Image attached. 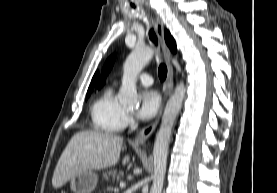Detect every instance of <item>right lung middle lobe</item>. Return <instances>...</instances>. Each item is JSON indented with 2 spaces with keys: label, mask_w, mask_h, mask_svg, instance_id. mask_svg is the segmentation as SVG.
<instances>
[{
  "label": "right lung middle lobe",
  "mask_w": 277,
  "mask_h": 193,
  "mask_svg": "<svg viewBox=\"0 0 277 193\" xmlns=\"http://www.w3.org/2000/svg\"><path fill=\"white\" fill-rule=\"evenodd\" d=\"M90 94H87L86 99L89 97Z\"/></svg>",
  "instance_id": "1"
}]
</instances>
